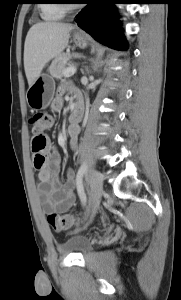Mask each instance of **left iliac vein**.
<instances>
[{
	"label": "left iliac vein",
	"mask_w": 181,
	"mask_h": 300,
	"mask_svg": "<svg viewBox=\"0 0 181 300\" xmlns=\"http://www.w3.org/2000/svg\"><path fill=\"white\" fill-rule=\"evenodd\" d=\"M90 181L92 193L90 196L91 208L88 215L92 217L99 207L100 199L103 194V175L99 171L93 170L90 175Z\"/></svg>",
	"instance_id": "obj_1"
}]
</instances>
